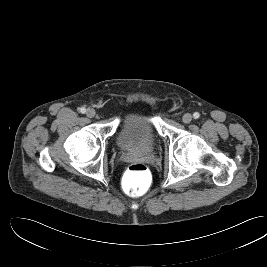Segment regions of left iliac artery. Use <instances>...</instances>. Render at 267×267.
Listing matches in <instances>:
<instances>
[{
  "mask_svg": "<svg viewBox=\"0 0 267 267\" xmlns=\"http://www.w3.org/2000/svg\"><path fill=\"white\" fill-rule=\"evenodd\" d=\"M194 119H198L200 117V114L198 112H195L193 114Z\"/></svg>",
  "mask_w": 267,
  "mask_h": 267,
  "instance_id": "obj_1",
  "label": "left iliac artery"
}]
</instances>
